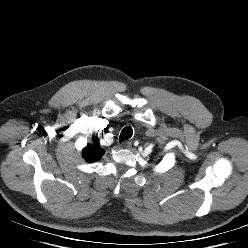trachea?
<instances>
[{"label":"trachea","mask_w":248,"mask_h":248,"mask_svg":"<svg viewBox=\"0 0 248 248\" xmlns=\"http://www.w3.org/2000/svg\"><path fill=\"white\" fill-rule=\"evenodd\" d=\"M133 135V130L130 126H126L122 131H121V134H120V137H119V141L122 142V141H125V140H128L129 138H131Z\"/></svg>","instance_id":"3493384b"}]
</instances>
